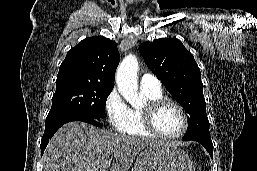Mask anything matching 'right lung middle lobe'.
<instances>
[{"label": "right lung middle lobe", "instance_id": "1", "mask_svg": "<svg viewBox=\"0 0 257 171\" xmlns=\"http://www.w3.org/2000/svg\"><path fill=\"white\" fill-rule=\"evenodd\" d=\"M112 87L90 84H69L56 87L47 117L79 113L99 119L104 116L106 99Z\"/></svg>", "mask_w": 257, "mask_h": 171}]
</instances>
